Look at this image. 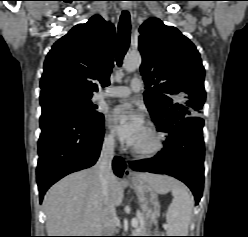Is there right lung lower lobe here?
Here are the masks:
<instances>
[{"mask_svg": "<svg viewBox=\"0 0 248 237\" xmlns=\"http://www.w3.org/2000/svg\"><path fill=\"white\" fill-rule=\"evenodd\" d=\"M37 183L40 202L48 188L62 177L94 165L104 136V117L83 120L70 115L47 114L40 117ZM125 162L113 160L114 173L122 177Z\"/></svg>", "mask_w": 248, "mask_h": 237, "instance_id": "obj_1", "label": "right lung lower lobe"}]
</instances>
